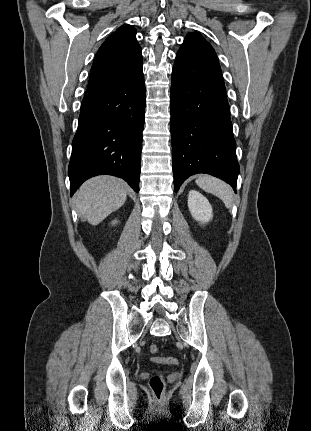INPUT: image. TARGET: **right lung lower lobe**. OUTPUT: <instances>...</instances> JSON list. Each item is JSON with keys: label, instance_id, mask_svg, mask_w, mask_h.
Here are the masks:
<instances>
[{"label": "right lung lower lobe", "instance_id": "obj_1", "mask_svg": "<svg viewBox=\"0 0 311 431\" xmlns=\"http://www.w3.org/2000/svg\"><path fill=\"white\" fill-rule=\"evenodd\" d=\"M142 67L85 92L68 168L71 196L101 174L120 177L139 192L146 96Z\"/></svg>", "mask_w": 311, "mask_h": 431}]
</instances>
